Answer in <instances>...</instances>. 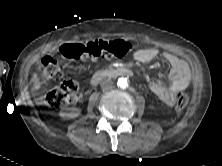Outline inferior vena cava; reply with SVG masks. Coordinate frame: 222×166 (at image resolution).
<instances>
[{"instance_id":"602c4592","label":"inferior vena cava","mask_w":222,"mask_h":166,"mask_svg":"<svg viewBox=\"0 0 222 166\" xmlns=\"http://www.w3.org/2000/svg\"><path fill=\"white\" fill-rule=\"evenodd\" d=\"M102 89H111L113 86V82L110 79H103L100 83Z\"/></svg>"}]
</instances>
